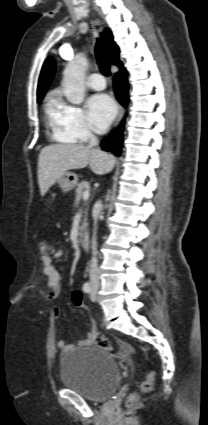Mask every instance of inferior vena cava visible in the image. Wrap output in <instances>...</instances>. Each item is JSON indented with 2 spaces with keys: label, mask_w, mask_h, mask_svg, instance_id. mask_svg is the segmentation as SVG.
<instances>
[{
  "label": "inferior vena cava",
  "mask_w": 208,
  "mask_h": 425,
  "mask_svg": "<svg viewBox=\"0 0 208 425\" xmlns=\"http://www.w3.org/2000/svg\"><path fill=\"white\" fill-rule=\"evenodd\" d=\"M90 141H89V147H96L99 144L98 138L90 134ZM96 225H97V218L94 221V232L92 237V259L90 264V281L98 283V261H97V242H96Z\"/></svg>",
  "instance_id": "602c4592"
}]
</instances>
